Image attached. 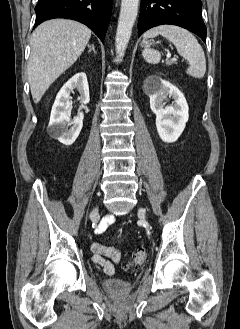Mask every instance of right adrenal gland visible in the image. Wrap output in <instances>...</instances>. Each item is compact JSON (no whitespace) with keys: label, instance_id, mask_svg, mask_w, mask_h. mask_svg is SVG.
Here are the masks:
<instances>
[{"label":"right adrenal gland","instance_id":"obj_1","mask_svg":"<svg viewBox=\"0 0 240 329\" xmlns=\"http://www.w3.org/2000/svg\"><path fill=\"white\" fill-rule=\"evenodd\" d=\"M88 48H89V52L90 51H93L95 54H96V51H95V47H94V45H88Z\"/></svg>","mask_w":240,"mask_h":329}]
</instances>
